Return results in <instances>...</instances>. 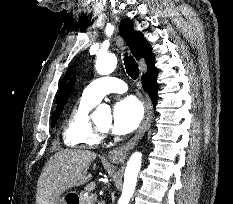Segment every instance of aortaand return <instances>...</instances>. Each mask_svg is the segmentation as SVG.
I'll return each instance as SVG.
<instances>
[{
  "mask_svg": "<svg viewBox=\"0 0 233 204\" xmlns=\"http://www.w3.org/2000/svg\"><path fill=\"white\" fill-rule=\"evenodd\" d=\"M117 65V58L114 54L100 55L95 64V68L100 75H108L112 73ZM111 109L108 105H99L93 114L94 118L101 115H109ZM141 153L135 152L131 155L124 173V184L121 197L118 204H128L137 184V177L141 167Z\"/></svg>",
  "mask_w": 233,
  "mask_h": 204,
  "instance_id": "aorta-1",
  "label": "aorta"
}]
</instances>
